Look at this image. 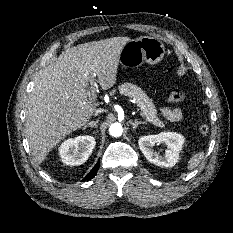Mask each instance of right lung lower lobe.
Instances as JSON below:
<instances>
[{
  "label": "right lung lower lobe",
  "mask_w": 233,
  "mask_h": 233,
  "mask_svg": "<svg viewBox=\"0 0 233 233\" xmlns=\"http://www.w3.org/2000/svg\"><path fill=\"white\" fill-rule=\"evenodd\" d=\"M99 166H100V162L98 161L97 164L94 166V168L90 171V173L83 180L92 179L96 175Z\"/></svg>",
  "instance_id": "obj_1"
}]
</instances>
